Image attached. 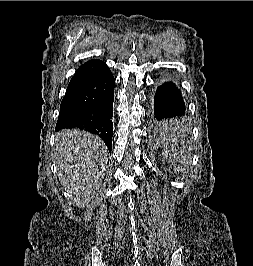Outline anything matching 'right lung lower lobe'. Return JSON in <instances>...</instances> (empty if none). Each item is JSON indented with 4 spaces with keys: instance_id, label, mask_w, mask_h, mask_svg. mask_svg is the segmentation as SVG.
Here are the masks:
<instances>
[{
    "instance_id": "obj_1",
    "label": "right lung lower lobe",
    "mask_w": 253,
    "mask_h": 266,
    "mask_svg": "<svg viewBox=\"0 0 253 266\" xmlns=\"http://www.w3.org/2000/svg\"><path fill=\"white\" fill-rule=\"evenodd\" d=\"M115 79L99 59L82 64L72 77L60 105L56 131L79 128L102 138L112 150Z\"/></svg>"
}]
</instances>
